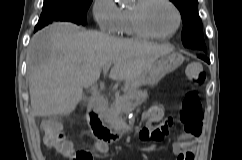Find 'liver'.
I'll list each match as a JSON object with an SVG mask.
<instances>
[{
	"instance_id": "6515ba94",
	"label": "liver",
	"mask_w": 242,
	"mask_h": 160,
	"mask_svg": "<svg viewBox=\"0 0 242 160\" xmlns=\"http://www.w3.org/2000/svg\"><path fill=\"white\" fill-rule=\"evenodd\" d=\"M174 47L133 39H119L86 31L73 23L57 22L37 32L27 54L29 92L35 116L67 115L100 77L113 65L109 78L137 80Z\"/></svg>"
}]
</instances>
